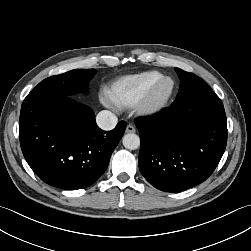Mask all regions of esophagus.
<instances>
[{"label": "esophagus", "mask_w": 251, "mask_h": 251, "mask_svg": "<svg viewBox=\"0 0 251 251\" xmlns=\"http://www.w3.org/2000/svg\"><path fill=\"white\" fill-rule=\"evenodd\" d=\"M135 132H136V129L133 125H131V124L127 125L126 133H135Z\"/></svg>", "instance_id": "esophagus-1"}]
</instances>
